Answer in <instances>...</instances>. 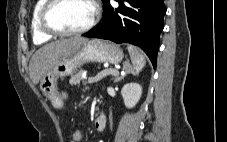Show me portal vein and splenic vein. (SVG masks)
Listing matches in <instances>:
<instances>
[{
    "label": "portal vein and splenic vein",
    "instance_id": "18ae733b",
    "mask_svg": "<svg viewBox=\"0 0 227 142\" xmlns=\"http://www.w3.org/2000/svg\"><path fill=\"white\" fill-rule=\"evenodd\" d=\"M116 74V70L114 69H107L104 70L103 72L97 74L95 77H90L88 78V83H95L100 81L102 78L108 76V75H114Z\"/></svg>",
    "mask_w": 227,
    "mask_h": 142
}]
</instances>
